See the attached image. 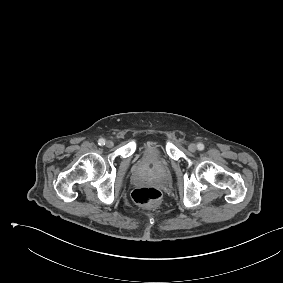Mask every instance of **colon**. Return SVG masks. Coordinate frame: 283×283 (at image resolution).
<instances>
[{
  "instance_id": "1",
  "label": "colon",
  "mask_w": 283,
  "mask_h": 283,
  "mask_svg": "<svg viewBox=\"0 0 283 283\" xmlns=\"http://www.w3.org/2000/svg\"><path fill=\"white\" fill-rule=\"evenodd\" d=\"M132 198L139 205L157 207L160 203L161 192L155 187H140L132 192Z\"/></svg>"
}]
</instances>
